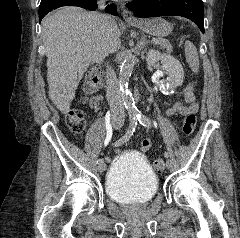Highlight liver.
<instances>
[{
	"label": "liver",
	"mask_w": 240,
	"mask_h": 238,
	"mask_svg": "<svg viewBox=\"0 0 240 238\" xmlns=\"http://www.w3.org/2000/svg\"><path fill=\"white\" fill-rule=\"evenodd\" d=\"M94 13L66 6L44 18L42 38L47 56L49 97L67 114L89 65L100 63L121 45L116 22L104 26Z\"/></svg>",
	"instance_id": "1"
}]
</instances>
